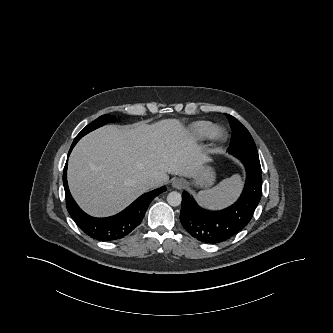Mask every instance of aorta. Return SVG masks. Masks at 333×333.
<instances>
[{
	"label": "aorta",
	"mask_w": 333,
	"mask_h": 333,
	"mask_svg": "<svg viewBox=\"0 0 333 333\" xmlns=\"http://www.w3.org/2000/svg\"><path fill=\"white\" fill-rule=\"evenodd\" d=\"M182 196L179 192H170L167 196V202L171 206H178L181 204Z\"/></svg>",
	"instance_id": "762f6f07"
}]
</instances>
